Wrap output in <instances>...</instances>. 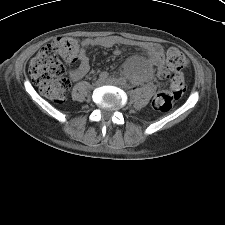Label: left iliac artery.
Returning a JSON list of instances; mask_svg holds the SVG:
<instances>
[{
	"mask_svg": "<svg viewBox=\"0 0 225 225\" xmlns=\"http://www.w3.org/2000/svg\"><path fill=\"white\" fill-rule=\"evenodd\" d=\"M118 80H119V83H120L121 85H123V86H126V85H127V81H126L125 78L120 77Z\"/></svg>",
	"mask_w": 225,
	"mask_h": 225,
	"instance_id": "left-iliac-artery-1",
	"label": "left iliac artery"
}]
</instances>
